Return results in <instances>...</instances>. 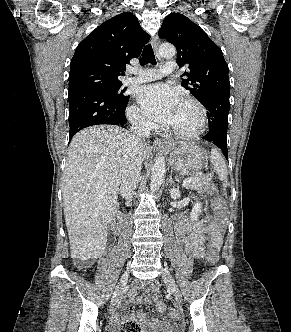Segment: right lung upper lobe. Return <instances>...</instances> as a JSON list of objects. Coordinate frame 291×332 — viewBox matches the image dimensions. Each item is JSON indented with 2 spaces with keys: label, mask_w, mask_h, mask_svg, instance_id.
<instances>
[{
  "label": "right lung upper lobe",
  "mask_w": 291,
  "mask_h": 332,
  "mask_svg": "<svg viewBox=\"0 0 291 332\" xmlns=\"http://www.w3.org/2000/svg\"><path fill=\"white\" fill-rule=\"evenodd\" d=\"M149 35L130 12L121 13L92 31L79 43L71 60L69 93L95 82L121 83L125 65L138 57Z\"/></svg>",
  "instance_id": "cb5924a9"
}]
</instances>
